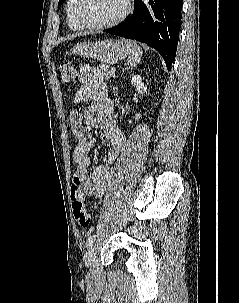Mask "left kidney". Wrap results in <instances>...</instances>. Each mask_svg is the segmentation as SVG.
Returning a JSON list of instances; mask_svg holds the SVG:
<instances>
[{
    "label": "left kidney",
    "mask_w": 239,
    "mask_h": 303,
    "mask_svg": "<svg viewBox=\"0 0 239 303\" xmlns=\"http://www.w3.org/2000/svg\"><path fill=\"white\" fill-rule=\"evenodd\" d=\"M131 84L136 87L138 93H140V94H144L147 90V87L142 82V78L140 77V75L133 76L132 80H131ZM140 117H141V114H139V113L136 114L135 120L140 119ZM129 123H132V121L130 120Z\"/></svg>",
    "instance_id": "1"
}]
</instances>
